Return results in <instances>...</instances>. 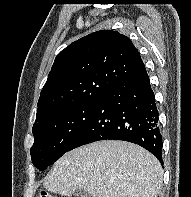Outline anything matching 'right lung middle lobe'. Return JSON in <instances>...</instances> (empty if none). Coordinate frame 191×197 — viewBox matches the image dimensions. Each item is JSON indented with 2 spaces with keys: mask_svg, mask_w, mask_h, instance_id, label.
Returning a JSON list of instances; mask_svg holds the SVG:
<instances>
[{
  "mask_svg": "<svg viewBox=\"0 0 191 197\" xmlns=\"http://www.w3.org/2000/svg\"><path fill=\"white\" fill-rule=\"evenodd\" d=\"M97 106V101L71 106L53 113L33 125L31 159L45 170L66 153Z\"/></svg>",
  "mask_w": 191,
  "mask_h": 197,
  "instance_id": "dd1d6c3e",
  "label": "right lung middle lobe"
}]
</instances>
